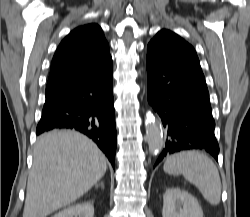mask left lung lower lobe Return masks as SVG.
<instances>
[{
  "label": "left lung lower lobe",
  "instance_id": "left-lung-lower-lobe-1",
  "mask_svg": "<svg viewBox=\"0 0 250 217\" xmlns=\"http://www.w3.org/2000/svg\"><path fill=\"white\" fill-rule=\"evenodd\" d=\"M146 62L148 102L167 130L165 148L155 165L166 156L190 149H204L217 160L215 122L199 61L148 45Z\"/></svg>",
  "mask_w": 250,
  "mask_h": 217
}]
</instances>
